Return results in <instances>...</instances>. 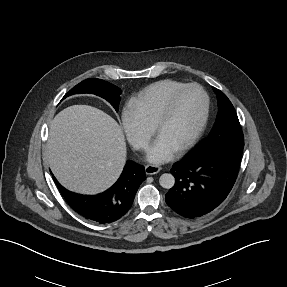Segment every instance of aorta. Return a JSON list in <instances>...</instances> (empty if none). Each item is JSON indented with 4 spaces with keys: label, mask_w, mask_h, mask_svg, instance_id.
Instances as JSON below:
<instances>
[{
    "label": "aorta",
    "mask_w": 287,
    "mask_h": 287,
    "mask_svg": "<svg viewBox=\"0 0 287 287\" xmlns=\"http://www.w3.org/2000/svg\"><path fill=\"white\" fill-rule=\"evenodd\" d=\"M159 183L163 188L170 189L175 184V178L170 173H164L160 176Z\"/></svg>",
    "instance_id": "1"
}]
</instances>
